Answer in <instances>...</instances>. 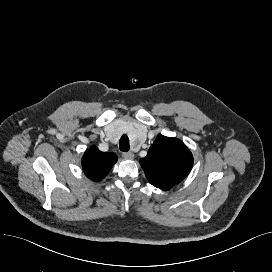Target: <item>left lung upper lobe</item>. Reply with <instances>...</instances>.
<instances>
[{"instance_id":"1","label":"left lung upper lobe","mask_w":272,"mask_h":272,"mask_svg":"<svg viewBox=\"0 0 272 272\" xmlns=\"http://www.w3.org/2000/svg\"><path fill=\"white\" fill-rule=\"evenodd\" d=\"M140 164L152 185L169 190L189 174L193 156L179 139L158 135Z\"/></svg>"}]
</instances>
